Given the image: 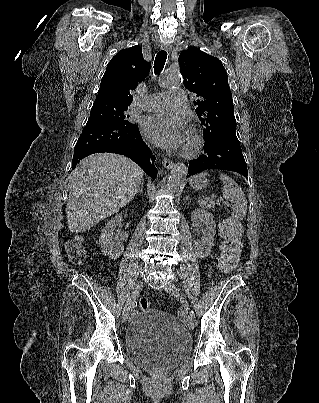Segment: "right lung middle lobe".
I'll list each match as a JSON object with an SVG mask.
<instances>
[{
  "mask_svg": "<svg viewBox=\"0 0 319 403\" xmlns=\"http://www.w3.org/2000/svg\"><path fill=\"white\" fill-rule=\"evenodd\" d=\"M127 109L128 105L94 102L87 124L106 122L133 126L134 124L128 121L129 115L124 113Z\"/></svg>",
  "mask_w": 319,
  "mask_h": 403,
  "instance_id": "right-lung-middle-lobe-1",
  "label": "right lung middle lobe"
}]
</instances>
